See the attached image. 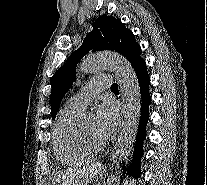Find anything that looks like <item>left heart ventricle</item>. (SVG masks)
I'll use <instances>...</instances> for the list:
<instances>
[{
  "mask_svg": "<svg viewBox=\"0 0 207 185\" xmlns=\"http://www.w3.org/2000/svg\"><path fill=\"white\" fill-rule=\"evenodd\" d=\"M83 131H84L85 133H87L88 135H94V136H96V137H98V138H101V137L97 134V132H96V128H95V126H94V123H90V124L86 125V126L83 128Z\"/></svg>",
  "mask_w": 207,
  "mask_h": 185,
  "instance_id": "left-heart-ventricle-1",
  "label": "left heart ventricle"
}]
</instances>
